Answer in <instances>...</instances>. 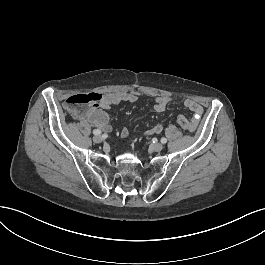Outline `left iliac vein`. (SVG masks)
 <instances>
[{
    "instance_id": "left-iliac-vein-1",
    "label": "left iliac vein",
    "mask_w": 265,
    "mask_h": 265,
    "mask_svg": "<svg viewBox=\"0 0 265 265\" xmlns=\"http://www.w3.org/2000/svg\"><path fill=\"white\" fill-rule=\"evenodd\" d=\"M152 149L156 152H159L163 149V144L162 143H154L151 145Z\"/></svg>"
}]
</instances>
